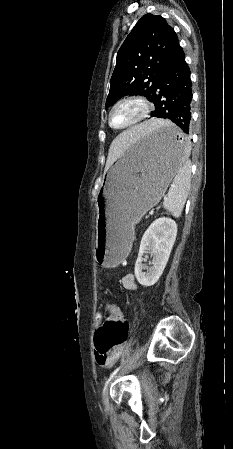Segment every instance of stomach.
Wrapping results in <instances>:
<instances>
[{
	"label": "stomach",
	"instance_id": "stomach-1",
	"mask_svg": "<svg viewBox=\"0 0 233 449\" xmlns=\"http://www.w3.org/2000/svg\"><path fill=\"white\" fill-rule=\"evenodd\" d=\"M187 137L171 123L135 142L111 167L98 197L95 259L115 267L134 240V227L164 195L186 159Z\"/></svg>",
	"mask_w": 233,
	"mask_h": 449
}]
</instances>
